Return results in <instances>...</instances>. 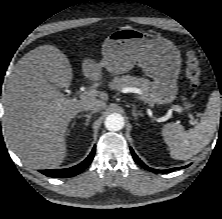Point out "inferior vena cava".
Segmentation results:
<instances>
[{
  "instance_id": "602c4592",
  "label": "inferior vena cava",
  "mask_w": 222,
  "mask_h": 219,
  "mask_svg": "<svg viewBox=\"0 0 222 219\" xmlns=\"http://www.w3.org/2000/svg\"><path fill=\"white\" fill-rule=\"evenodd\" d=\"M102 107H103V102L95 100L93 102H89L88 104H86L83 110H92L93 112H98L102 109Z\"/></svg>"
}]
</instances>
